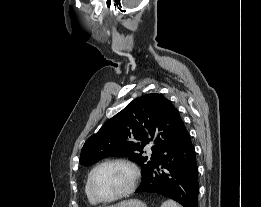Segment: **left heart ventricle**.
Listing matches in <instances>:
<instances>
[{"label": "left heart ventricle", "instance_id": "obj_1", "mask_svg": "<svg viewBox=\"0 0 261 207\" xmlns=\"http://www.w3.org/2000/svg\"><path fill=\"white\" fill-rule=\"evenodd\" d=\"M132 178L129 168L120 164L106 165L94 176V189L101 198H109L125 190Z\"/></svg>", "mask_w": 261, "mask_h": 207}]
</instances>
